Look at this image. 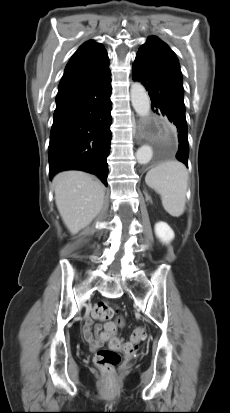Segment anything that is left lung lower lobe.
I'll use <instances>...</instances> for the list:
<instances>
[{
    "mask_svg": "<svg viewBox=\"0 0 230 413\" xmlns=\"http://www.w3.org/2000/svg\"><path fill=\"white\" fill-rule=\"evenodd\" d=\"M132 77L146 87L154 112L166 116L177 127L179 147L176 158L187 167L188 139L182 76L160 56L139 49Z\"/></svg>",
    "mask_w": 230,
    "mask_h": 413,
    "instance_id": "1",
    "label": "left lung lower lobe"
}]
</instances>
